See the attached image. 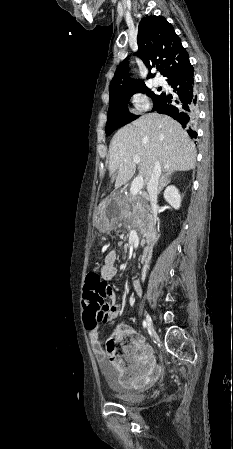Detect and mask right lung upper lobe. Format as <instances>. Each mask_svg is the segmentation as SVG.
<instances>
[{"label":"right lung upper lobe","mask_w":233,"mask_h":449,"mask_svg":"<svg viewBox=\"0 0 233 449\" xmlns=\"http://www.w3.org/2000/svg\"><path fill=\"white\" fill-rule=\"evenodd\" d=\"M138 52L144 64L151 68L162 65V74L169 77L189 63V56L175 33L173 26L162 16L144 17L138 27ZM128 62L125 59L116 69L109 86L110 98L144 87L140 80L127 75ZM153 77L152 74L148 78Z\"/></svg>","instance_id":"right-lung-upper-lobe-1"}]
</instances>
